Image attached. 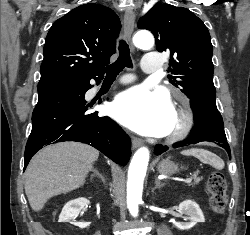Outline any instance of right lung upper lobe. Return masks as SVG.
I'll return each instance as SVG.
<instances>
[{"instance_id": "obj_1", "label": "right lung upper lobe", "mask_w": 250, "mask_h": 235, "mask_svg": "<svg viewBox=\"0 0 250 235\" xmlns=\"http://www.w3.org/2000/svg\"><path fill=\"white\" fill-rule=\"evenodd\" d=\"M120 28L118 16L95 3L56 20L46 37L38 91L103 76Z\"/></svg>"}]
</instances>
